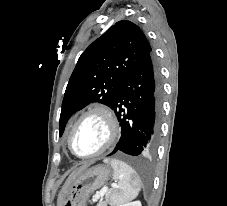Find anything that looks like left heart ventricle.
Masks as SVG:
<instances>
[{
	"instance_id": "b2bd125f",
	"label": "left heart ventricle",
	"mask_w": 227,
	"mask_h": 206,
	"mask_svg": "<svg viewBox=\"0 0 227 206\" xmlns=\"http://www.w3.org/2000/svg\"><path fill=\"white\" fill-rule=\"evenodd\" d=\"M108 128L100 115H90L83 119L71 137V147L78 155L90 154L98 150L106 141Z\"/></svg>"
}]
</instances>
